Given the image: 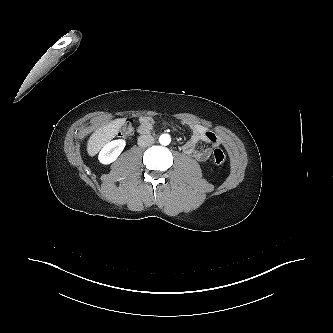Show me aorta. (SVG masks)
Instances as JSON below:
<instances>
[{
	"mask_svg": "<svg viewBox=\"0 0 333 333\" xmlns=\"http://www.w3.org/2000/svg\"><path fill=\"white\" fill-rule=\"evenodd\" d=\"M159 142H160L161 145H164V146L169 145L170 142H171L170 135L169 134H162V135H160Z\"/></svg>",
	"mask_w": 333,
	"mask_h": 333,
	"instance_id": "aorta-1",
	"label": "aorta"
}]
</instances>
